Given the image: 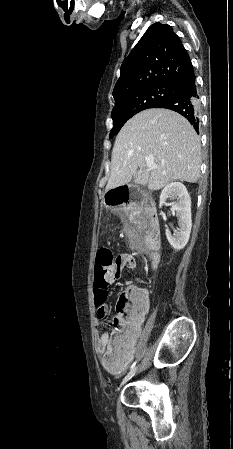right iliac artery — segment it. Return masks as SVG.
Masks as SVG:
<instances>
[{"label":"right iliac artery","mask_w":233,"mask_h":449,"mask_svg":"<svg viewBox=\"0 0 233 449\" xmlns=\"http://www.w3.org/2000/svg\"><path fill=\"white\" fill-rule=\"evenodd\" d=\"M135 365H136V362H134V363L131 365L130 370H132V369L135 367Z\"/></svg>","instance_id":"obj_1"}]
</instances>
